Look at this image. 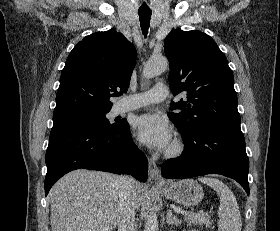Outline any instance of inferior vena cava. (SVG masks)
<instances>
[{
    "label": "inferior vena cava",
    "mask_w": 280,
    "mask_h": 231,
    "mask_svg": "<svg viewBox=\"0 0 280 231\" xmlns=\"http://www.w3.org/2000/svg\"><path fill=\"white\" fill-rule=\"evenodd\" d=\"M119 187V199L117 205L118 231H136L134 201L131 197V189L136 181L133 177L122 175L117 181Z\"/></svg>",
    "instance_id": "602c4592"
}]
</instances>
